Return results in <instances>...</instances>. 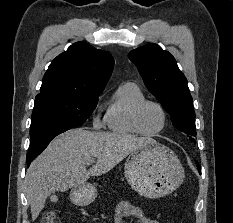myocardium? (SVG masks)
<instances>
[{"label": "myocardium", "instance_id": "obj_1", "mask_svg": "<svg viewBox=\"0 0 233 223\" xmlns=\"http://www.w3.org/2000/svg\"><path fill=\"white\" fill-rule=\"evenodd\" d=\"M147 105H155L157 106L163 113L164 116V127L162 128V130H160L159 132L156 133H149L147 132L141 123V116H142V112L144 110V108ZM169 114L166 110V108L159 102L155 101V100H149V99H144L142 101H140L134 108L133 113H132V124L134 126V128L136 129V131L144 136L147 137H155V136H159L162 135L166 132L168 126H169Z\"/></svg>", "mask_w": 233, "mask_h": 223}]
</instances>
